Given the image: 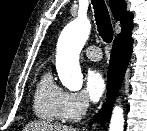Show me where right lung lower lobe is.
<instances>
[{
  "mask_svg": "<svg viewBox=\"0 0 147 131\" xmlns=\"http://www.w3.org/2000/svg\"><path fill=\"white\" fill-rule=\"evenodd\" d=\"M131 32L115 38L108 68L107 102L101 115L102 122L111 114L115 97L119 91L132 50Z\"/></svg>",
  "mask_w": 147,
  "mask_h": 131,
  "instance_id": "1",
  "label": "right lung lower lobe"
}]
</instances>
